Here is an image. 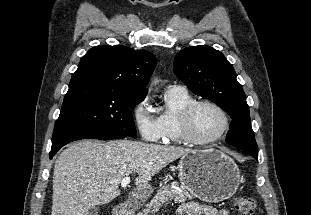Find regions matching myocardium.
I'll list each match as a JSON object with an SVG mask.
<instances>
[{
  "label": "myocardium",
  "mask_w": 311,
  "mask_h": 215,
  "mask_svg": "<svg viewBox=\"0 0 311 215\" xmlns=\"http://www.w3.org/2000/svg\"><path fill=\"white\" fill-rule=\"evenodd\" d=\"M203 105H209L217 109L223 118V126L222 129L213 137L208 139H200L198 138L193 130V117L194 113L197 110L198 107ZM179 123H180V129L181 134L184 139V141L191 145H197V146H204L212 144L216 141H218L228 130L229 128V116L226 112V110L219 105L218 103L203 99V100H194L191 103H189L186 107L182 109L179 115Z\"/></svg>",
  "instance_id": "f54148a6"
}]
</instances>
